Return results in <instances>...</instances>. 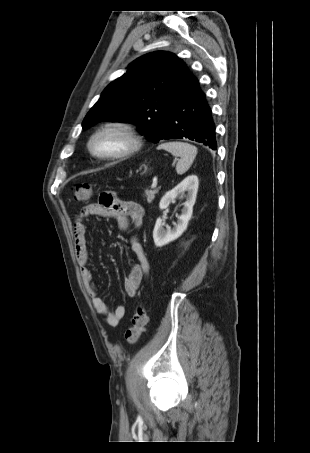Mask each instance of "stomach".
<instances>
[{
	"mask_svg": "<svg viewBox=\"0 0 310 453\" xmlns=\"http://www.w3.org/2000/svg\"><path fill=\"white\" fill-rule=\"evenodd\" d=\"M146 171H147V168H145V171H144V172H146Z\"/></svg>",
	"mask_w": 310,
	"mask_h": 453,
	"instance_id": "stomach-1",
	"label": "stomach"
}]
</instances>
